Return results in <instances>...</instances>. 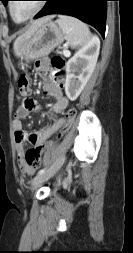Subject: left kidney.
<instances>
[{"label":"left kidney","mask_w":133,"mask_h":253,"mask_svg":"<svg viewBox=\"0 0 133 253\" xmlns=\"http://www.w3.org/2000/svg\"><path fill=\"white\" fill-rule=\"evenodd\" d=\"M99 50L100 40L97 36H93L66 63L65 93L71 101L77 99L91 77Z\"/></svg>","instance_id":"1"}]
</instances>
